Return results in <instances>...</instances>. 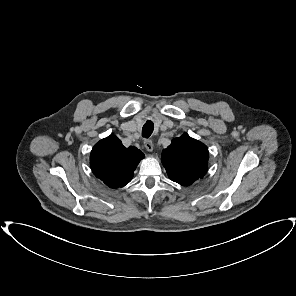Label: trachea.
I'll return each mask as SVG.
<instances>
[{
    "mask_svg": "<svg viewBox=\"0 0 296 296\" xmlns=\"http://www.w3.org/2000/svg\"><path fill=\"white\" fill-rule=\"evenodd\" d=\"M154 130L153 122L148 120L142 128V136L145 138H149Z\"/></svg>",
    "mask_w": 296,
    "mask_h": 296,
    "instance_id": "1",
    "label": "trachea"
}]
</instances>
